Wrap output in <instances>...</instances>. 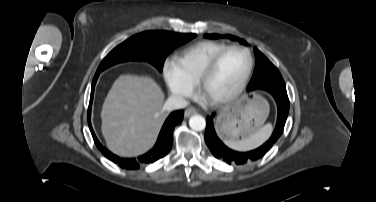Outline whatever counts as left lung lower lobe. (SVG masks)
Returning <instances> with one entry per match:
<instances>
[{"instance_id": "1", "label": "left lung lower lobe", "mask_w": 376, "mask_h": 202, "mask_svg": "<svg viewBox=\"0 0 376 202\" xmlns=\"http://www.w3.org/2000/svg\"><path fill=\"white\" fill-rule=\"evenodd\" d=\"M267 91L272 94L277 103V123L269 140L256 150L244 153L236 152L229 149L222 143V141L216 135L213 126V118L215 117V115L212 114V116H208L206 118V130L204 138L211 153L216 158L221 159L228 164L235 163L237 165L245 164L248 162H254L262 158L280 138V136L283 133L284 125L289 112V99L287 96V92L280 91L278 89H270Z\"/></svg>"}]
</instances>
